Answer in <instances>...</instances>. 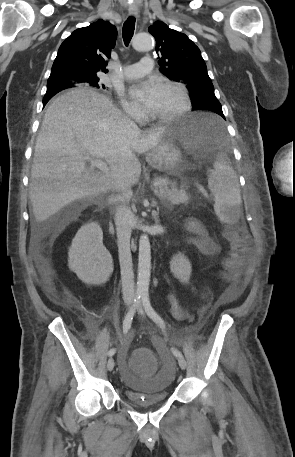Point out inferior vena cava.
Masks as SVG:
<instances>
[{
    "label": "inferior vena cava",
    "mask_w": 295,
    "mask_h": 457,
    "mask_svg": "<svg viewBox=\"0 0 295 457\" xmlns=\"http://www.w3.org/2000/svg\"><path fill=\"white\" fill-rule=\"evenodd\" d=\"M131 218V211L126 205H119L116 207L115 224L118 239L122 293L123 297L128 299H133L135 296L132 258L130 251Z\"/></svg>",
    "instance_id": "602c4592"
}]
</instances>
